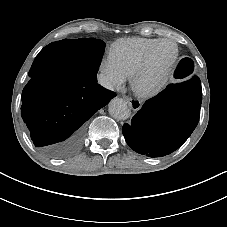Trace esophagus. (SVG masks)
<instances>
[{
	"instance_id": "esophagus-1",
	"label": "esophagus",
	"mask_w": 227,
	"mask_h": 227,
	"mask_svg": "<svg viewBox=\"0 0 227 227\" xmlns=\"http://www.w3.org/2000/svg\"><path fill=\"white\" fill-rule=\"evenodd\" d=\"M123 98L128 102L129 106L133 111H138L141 108V101L136 98H132L126 95H123Z\"/></svg>"
}]
</instances>
